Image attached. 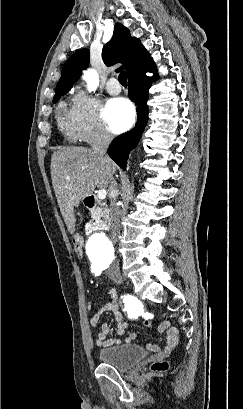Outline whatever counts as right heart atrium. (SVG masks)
Listing matches in <instances>:
<instances>
[{
    "label": "right heart atrium",
    "instance_id": "right-heart-atrium-1",
    "mask_svg": "<svg viewBox=\"0 0 243 409\" xmlns=\"http://www.w3.org/2000/svg\"><path fill=\"white\" fill-rule=\"evenodd\" d=\"M70 119L74 138L90 144L111 140V134L100 116L98 102L82 91L73 96Z\"/></svg>",
    "mask_w": 243,
    "mask_h": 409
}]
</instances>
